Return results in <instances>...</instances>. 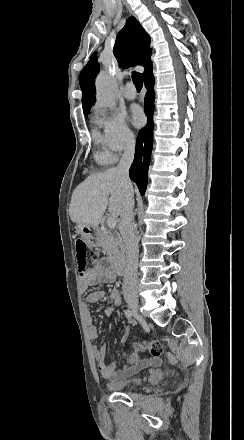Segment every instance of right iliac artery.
Instances as JSON below:
<instances>
[{"mask_svg": "<svg viewBox=\"0 0 244 440\" xmlns=\"http://www.w3.org/2000/svg\"><path fill=\"white\" fill-rule=\"evenodd\" d=\"M125 316L127 318H131L133 316V312L130 309L125 310Z\"/></svg>", "mask_w": 244, "mask_h": 440, "instance_id": "1", "label": "right iliac artery"}]
</instances>
